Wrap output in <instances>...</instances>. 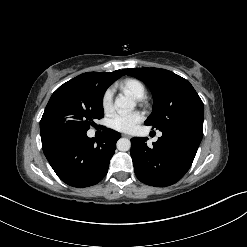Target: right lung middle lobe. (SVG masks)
<instances>
[{
  "label": "right lung middle lobe",
  "mask_w": 247,
  "mask_h": 247,
  "mask_svg": "<svg viewBox=\"0 0 247 247\" xmlns=\"http://www.w3.org/2000/svg\"><path fill=\"white\" fill-rule=\"evenodd\" d=\"M107 87L89 77L77 76L51 96L40 121L41 138L85 134L103 114L102 98Z\"/></svg>",
  "instance_id": "right-lung-middle-lobe-1"
}]
</instances>
